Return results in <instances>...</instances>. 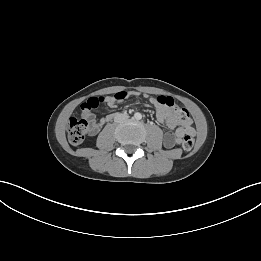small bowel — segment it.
<instances>
[{
    "instance_id": "small-bowel-1",
    "label": "small bowel",
    "mask_w": 261,
    "mask_h": 261,
    "mask_svg": "<svg viewBox=\"0 0 261 261\" xmlns=\"http://www.w3.org/2000/svg\"><path fill=\"white\" fill-rule=\"evenodd\" d=\"M149 101L155 108L157 120L168 128L175 129L174 132L166 133L164 136L163 143L166 148H172L179 144L186 135H194L195 130L190 120L181 124L176 120L174 106L160 103L157 97H150ZM105 102L109 107L115 106V101L112 98H106ZM89 117L91 119L90 134L95 135L102 125L111 120L112 115L102 118L99 122L94 121L91 115Z\"/></svg>"
}]
</instances>
